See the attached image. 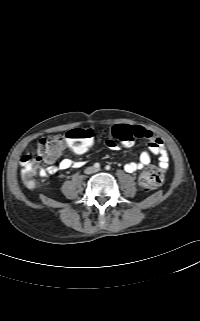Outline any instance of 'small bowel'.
<instances>
[{"mask_svg":"<svg viewBox=\"0 0 200 321\" xmlns=\"http://www.w3.org/2000/svg\"><path fill=\"white\" fill-rule=\"evenodd\" d=\"M140 134V138H144L149 143L147 151H143L137 161H131L125 164L124 169L128 173H134L147 166L151 161V155L158 156L159 166L162 170H166L169 166V157L163 141L157 137L152 131L141 126H135ZM106 145L111 150H117L118 146L114 140L108 139ZM62 152V151H61ZM61 152L54 158L47 161V166L40 170L41 176H50L57 173L59 170H67L75 165L69 158H63L58 164H55ZM85 152V151H84ZM83 154V153H82Z\"/></svg>","mask_w":200,"mask_h":321,"instance_id":"1","label":"small bowel"}]
</instances>
